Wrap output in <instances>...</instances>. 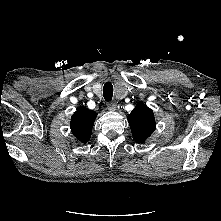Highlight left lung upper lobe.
Instances as JSON below:
<instances>
[{
    "label": "left lung upper lobe",
    "instance_id": "5c2ea615",
    "mask_svg": "<svg viewBox=\"0 0 221 221\" xmlns=\"http://www.w3.org/2000/svg\"><path fill=\"white\" fill-rule=\"evenodd\" d=\"M132 135L136 142L144 143L155 130L153 111L143 103H138L128 116Z\"/></svg>",
    "mask_w": 221,
    "mask_h": 221
}]
</instances>
